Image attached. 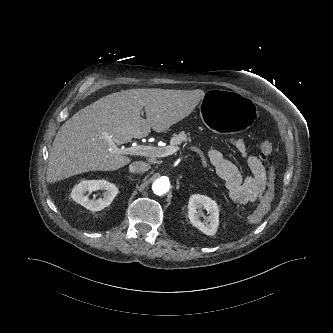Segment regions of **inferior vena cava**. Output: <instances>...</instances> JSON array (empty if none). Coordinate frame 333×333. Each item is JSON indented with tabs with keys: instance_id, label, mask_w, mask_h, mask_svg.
I'll list each match as a JSON object with an SVG mask.
<instances>
[{
	"instance_id": "inferior-vena-cava-1",
	"label": "inferior vena cava",
	"mask_w": 333,
	"mask_h": 333,
	"mask_svg": "<svg viewBox=\"0 0 333 333\" xmlns=\"http://www.w3.org/2000/svg\"><path fill=\"white\" fill-rule=\"evenodd\" d=\"M150 169V165L143 161H135L129 165V171L132 173H144Z\"/></svg>"
}]
</instances>
